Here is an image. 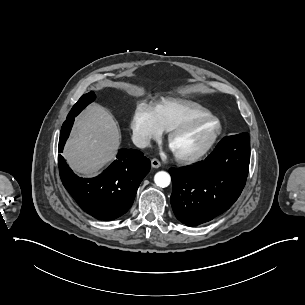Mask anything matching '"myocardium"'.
Wrapping results in <instances>:
<instances>
[{"mask_svg": "<svg viewBox=\"0 0 305 305\" xmlns=\"http://www.w3.org/2000/svg\"><path fill=\"white\" fill-rule=\"evenodd\" d=\"M210 119H213L218 123V130L216 131L213 138L206 146H204L201 149L189 151V152H181V151L175 150V148H174L175 143L186 132V130L188 128H190L191 126H193L195 124H198L203 121L210 120ZM224 133H225V126H224L223 121L220 119V117L218 115H216L213 112H210L208 114L186 120L183 123H181L180 125H178L170 133L169 138H168V143L174 154L175 159L178 162L183 163V164H190V163H193V162H196V161L202 159L203 157L207 156L210 152H212L215 149V147L219 144Z\"/></svg>", "mask_w": 305, "mask_h": 305, "instance_id": "f54148a6", "label": "myocardium"}]
</instances>
